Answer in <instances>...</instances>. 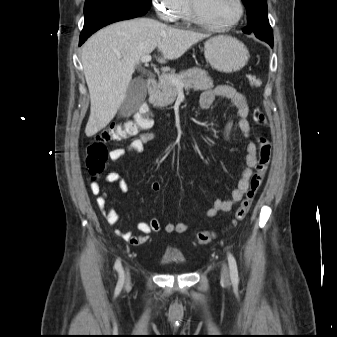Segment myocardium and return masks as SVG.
Masks as SVG:
<instances>
[{"label":"myocardium","instance_id":"f54148a6","mask_svg":"<svg viewBox=\"0 0 337 337\" xmlns=\"http://www.w3.org/2000/svg\"><path fill=\"white\" fill-rule=\"evenodd\" d=\"M187 1L192 21L202 27H205L213 31H226L232 29L233 27L239 24L245 13V6L243 0H235L238 7L236 17L228 23L216 24L208 21L200 14L194 0H187Z\"/></svg>","mask_w":337,"mask_h":337}]
</instances>
